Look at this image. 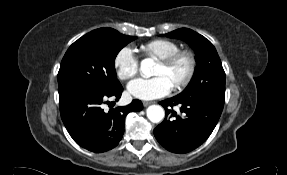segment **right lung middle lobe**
<instances>
[{"instance_id":"right-lung-middle-lobe-1","label":"right lung middle lobe","mask_w":287,"mask_h":175,"mask_svg":"<svg viewBox=\"0 0 287 175\" xmlns=\"http://www.w3.org/2000/svg\"><path fill=\"white\" fill-rule=\"evenodd\" d=\"M134 39L112 28H99L79 38L62 59L58 72L59 94L73 89L112 92L121 87L115 58Z\"/></svg>"}]
</instances>
